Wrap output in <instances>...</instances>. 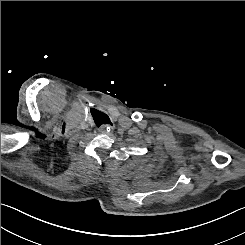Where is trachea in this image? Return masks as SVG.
I'll return each instance as SVG.
<instances>
[{
    "mask_svg": "<svg viewBox=\"0 0 245 245\" xmlns=\"http://www.w3.org/2000/svg\"><path fill=\"white\" fill-rule=\"evenodd\" d=\"M94 121L98 127L103 124H112L109 117L105 113H102V112H97L94 115Z\"/></svg>",
    "mask_w": 245,
    "mask_h": 245,
    "instance_id": "3493384b",
    "label": "trachea"
}]
</instances>
